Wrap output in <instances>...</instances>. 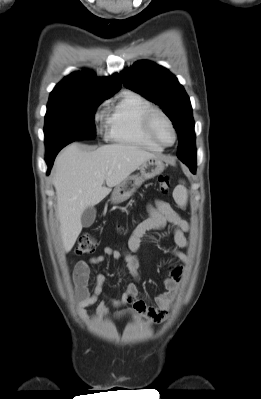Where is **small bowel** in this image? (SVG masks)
Wrapping results in <instances>:
<instances>
[{
	"label": "small bowel",
	"mask_w": 261,
	"mask_h": 399,
	"mask_svg": "<svg viewBox=\"0 0 261 399\" xmlns=\"http://www.w3.org/2000/svg\"><path fill=\"white\" fill-rule=\"evenodd\" d=\"M172 226V238L175 247L171 250L172 256L178 260V263L168 265L169 274L162 281L166 291L155 297V306H149L139 297V268L140 261L137 255L133 254L140 249L142 241L147 233L163 229L166 226ZM188 230L187 222L172 208V206L162 200H155L147 206V214L140 224L133 231L128 241V248L131 252L111 247H105L104 252L91 257L89 260L78 261L75 265L72 279L75 295L78 300L80 314L85 320H88L85 308L95 305L96 313L100 317L110 315L107 303L113 307L120 308L130 304L129 309H120L113 316L116 319L129 317L134 321L145 318V325L150 326L163 322L169 313V310L176 299L185 273V266L189 262L188 255L182 251L188 246L185 233ZM111 257L114 260L123 261L133 280L130 281L120 298H112L105 294L106 277L99 274L92 292L88 289L90 278V266L99 265ZM103 298L98 302L99 298Z\"/></svg>",
	"instance_id": "obj_1"
}]
</instances>
